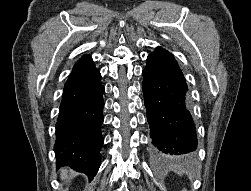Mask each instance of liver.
Returning a JSON list of instances; mask_svg holds the SVG:
<instances>
[{"label": "liver", "instance_id": "liver-1", "mask_svg": "<svg viewBox=\"0 0 251 191\" xmlns=\"http://www.w3.org/2000/svg\"><path fill=\"white\" fill-rule=\"evenodd\" d=\"M61 177L62 179H66L68 177L67 173H69L67 167H63V169H60Z\"/></svg>", "mask_w": 251, "mask_h": 191}]
</instances>
